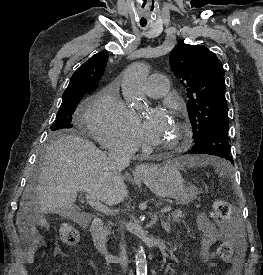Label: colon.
Here are the masks:
<instances>
[{"instance_id":"colon-1","label":"colon","mask_w":263,"mask_h":275,"mask_svg":"<svg viewBox=\"0 0 263 275\" xmlns=\"http://www.w3.org/2000/svg\"><path fill=\"white\" fill-rule=\"evenodd\" d=\"M232 216V207L225 200H216L213 205L212 217L222 223L227 224ZM59 236L61 241L68 246H75L80 239L78 230L68 224L62 223L59 228ZM217 254L220 259L228 261L233 255V246L232 243L228 240H224L217 249ZM227 275H236L234 270H231Z\"/></svg>"}]
</instances>
